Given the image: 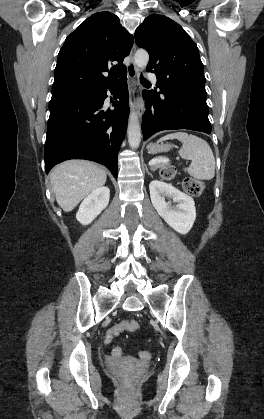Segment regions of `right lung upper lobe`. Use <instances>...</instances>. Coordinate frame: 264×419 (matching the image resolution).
I'll list each match as a JSON object with an SVG mask.
<instances>
[{"label": "right lung upper lobe", "instance_id": "right-lung-upper-lobe-1", "mask_svg": "<svg viewBox=\"0 0 264 419\" xmlns=\"http://www.w3.org/2000/svg\"><path fill=\"white\" fill-rule=\"evenodd\" d=\"M133 36L117 16L99 12L86 19L65 40L58 54L52 98L104 89L126 72ZM108 74V76H107Z\"/></svg>", "mask_w": 264, "mask_h": 419}]
</instances>
